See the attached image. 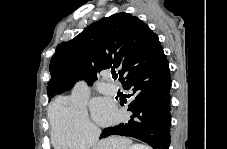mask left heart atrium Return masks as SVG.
Here are the masks:
<instances>
[{
    "label": "left heart atrium",
    "mask_w": 227,
    "mask_h": 149,
    "mask_svg": "<svg viewBox=\"0 0 227 149\" xmlns=\"http://www.w3.org/2000/svg\"><path fill=\"white\" fill-rule=\"evenodd\" d=\"M94 118L101 124H108L116 117L114 105L106 99H97L92 103Z\"/></svg>",
    "instance_id": "left-heart-atrium-1"
}]
</instances>
